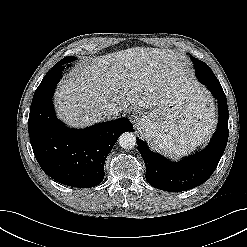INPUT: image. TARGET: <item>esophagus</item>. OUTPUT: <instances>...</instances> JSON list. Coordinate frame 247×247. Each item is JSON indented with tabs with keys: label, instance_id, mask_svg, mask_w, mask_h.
I'll list each match as a JSON object with an SVG mask.
<instances>
[{
	"label": "esophagus",
	"instance_id": "34e87169",
	"mask_svg": "<svg viewBox=\"0 0 247 247\" xmlns=\"http://www.w3.org/2000/svg\"><path fill=\"white\" fill-rule=\"evenodd\" d=\"M131 119H132L133 122L137 121V119H138V113L137 112L133 113L131 115Z\"/></svg>",
	"mask_w": 247,
	"mask_h": 247
}]
</instances>
